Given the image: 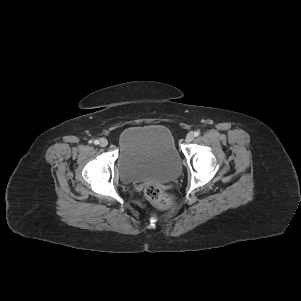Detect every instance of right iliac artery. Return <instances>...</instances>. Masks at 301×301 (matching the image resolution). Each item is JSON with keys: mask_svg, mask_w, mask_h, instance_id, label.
<instances>
[{"mask_svg": "<svg viewBox=\"0 0 301 301\" xmlns=\"http://www.w3.org/2000/svg\"><path fill=\"white\" fill-rule=\"evenodd\" d=\"M95 145L99 144V141L98 140H94L93 142Z\"/></svg>", "mask_w": 301, "mask_h": 301, "instance_id": "obj_1", "label": "right iliac artery"}]
</instances>
